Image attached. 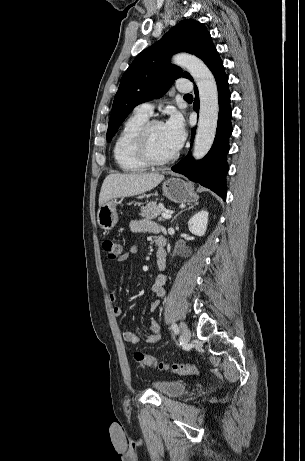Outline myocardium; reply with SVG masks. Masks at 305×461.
Masks as SVG:
<instances>
[{
    "mask_svg": "<svg viewBox=\"0 0 305 461\" xmlns=\"http://www.w3.org/2000/svg\"><path fill=\"white\" fill-rule=\"evenodd\" d=\"M163 125V122L157 119L147 120L138 130L134 138V152L136 156L147 166H162L169 164L177 159L178 152L175 151L172 155L157 159L152 156L149 149V138L152 129L155 126Z\"/></svg>",
    "mask_w": 305,
    "mask_h": 461,
    "instance_id": "f54148a6",
    "label": "myocardium"
}]
</instances>
